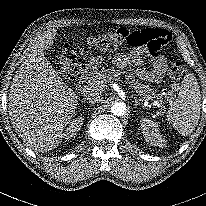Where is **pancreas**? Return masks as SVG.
Masks as SVG:
<instances>
[{
	"mask_svg": "<svg viewBox=\"0 0 206 206\" xmlns=\"http://www.w3.org/2000/svg\"><path fill=\"white\" fill-rule=\"evenodd\" d=\"M114 62L117 64L119 69L111 67L109 69L102 68L100 72H96L93 76V87L101 88L103 84H106L112 80H121V75L124 74L125 82L133 87L136 93L141 97L140 100H152L153 98H161V95L150 88L149 85L141 84L138 80L135 79L134 72H126L124 68L126 66H131L134 60H131V57L128 54H118L114 57ZM130 71V70H129ZM171 93L168 92L167 98L170 97Z\"/></svg>",
	"mask_w": 206,
	"mask_h": 206,
	"instance_id": "1",
	"label": "pancreas"
}]
</instances>
